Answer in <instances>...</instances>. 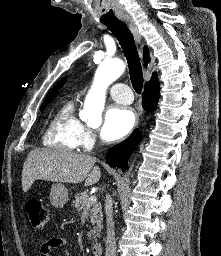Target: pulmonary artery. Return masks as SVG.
Segmentation results:
<instances>
[{
    "label": "pulmonary artery",
    "instance_id": "pulmonary-artery-1",
    "mask_svg": "<svg viewBox=\"0 0 221 256\" xmlns=\"http://www.w3.org/2000/svg\"><path fill=\"white\" fill-rule=\"evenodd\" d=\"M109 94L115 101L122 104H130L133 100L130 88L124 83H116L111 86Z\"/></svg>",
    "mask_w": 221,
    "mask_h": 256
}]
</instances>
